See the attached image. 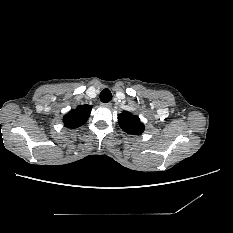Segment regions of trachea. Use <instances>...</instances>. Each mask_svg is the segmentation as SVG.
<instances>
[{
    "label": "trachea",
    "mask_w": 233,
    "mask_h": 233,
    "mask_svg": "<svg viewBox=\"0 0 233 233\" xmlns=\"http://www.w3.org/2000/svg\"><path fill=\"white\" fill-rule=\"evenodd\" d=\"M112 99V93L109 89H103L100 93V100L103 103H108Z\"/></svg>",
    "instance_id": "1"
}]
</instances>
